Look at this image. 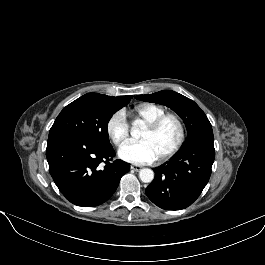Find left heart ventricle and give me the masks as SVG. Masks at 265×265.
<instances>
[{
	"label": "left heart ventricle",
	"instance_id": "b2bd125f",
	"mask_svg": "<svg viewBox=\"0 0 265 265\" xmlns=\"http://www.w3.org/2000/svg\"><path fill=\"white\" fill-rule=\"evenodd\" d=\"M179 126L174 119H167L155 131L143 129L140 135L142 141L150 143L157 156L170 149L178 140Z\"/></svg>",
	"mask_w": 265,
	"mask_h": 265
}]
</instances>
